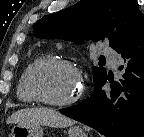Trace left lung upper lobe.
Listing matches in <instances>:
<instances>
[{
  "label": "left lung upper lobe",
  "instance_id": "1",
  "mask_svg": "<svg viewBox=\"0 0 144 137\" xmlns=\"http://www.w3.org/2000/svg\"><path fill=\"white\" fill-rule=\"evenodd\" d=\"M144 15L136 0H81L36 22V37L74 42L106 40L117 51L140 28ZM94 86L106 77V70L93 67Z\"/></svg>",
  "mask_w": 144,
  "mask_h": 137
}]
</instances>
